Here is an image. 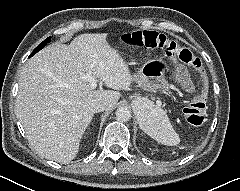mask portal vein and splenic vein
<instances>
[{
  "mask_svg": "<svg viewBox=\"0 0 240 191\" xmlns=\"http://www.w3.org/2000/svg\"><path fill=\"white\" fill-rule=\"evenodd\" d=\"M84 79H86L90 83V89L94 90L97 87V81L94 77L91 76V74H85Z\"/></svg>",
  "mask_w": 240,
  "mask_h": 191,
  "instance_id": "1",
  "label": "portal vein and splenic vein"
}]
</instances>
